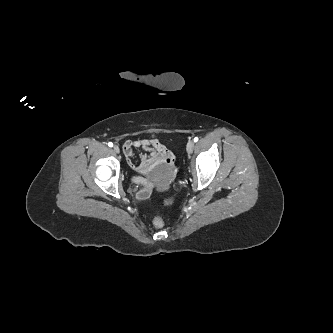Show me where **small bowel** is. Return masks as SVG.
I'll return each instance as SVG.
<instances>
[{
	"instance_id": "1",
	"label": "small bowel",
	"mask_w": 333,
	"mask_h": 333,
	"mask_svg": "<svg viewBox=\"0 0 333 333\" xmlns=\"http://www.w3.org/2000/svg\"><path fill=\"white\" fill-rule=\"evenodd\" d=\"M138 148L144 151L140 160L135 159L134 149ZM123 152L130 168L138 173H149L160 166L170 167L174 162L173 153L158 139L127 140L123 145ZM151 188L149 183L145 184L137 192V197L141 200L149 198Z\"/></svg>"
}]
</instances>
